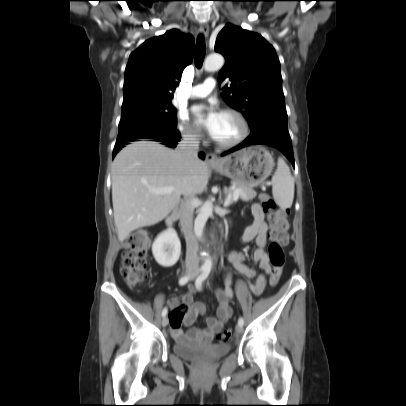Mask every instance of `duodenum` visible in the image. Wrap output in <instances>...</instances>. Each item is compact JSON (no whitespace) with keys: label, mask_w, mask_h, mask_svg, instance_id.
Here are the masks:
<instances>
[{"label":"duodenum","mask_w":406,"mask_h":406,"mask_svg":"<svg viewBox=\"0 0 406 406\" xmlns=\"http://www.w3.org/2000/svg\"><path fill=\"white\" fill-rule=\"evenodd\" d=\"M180 213H181L180 208H176L166 218L165 224L168 228H172L175 225L176 221L179 219ZM224 229H225V227H224V225H222L220 228L219 237H223Z\"/></svg>","instance_id":"1"}]
</instances>
